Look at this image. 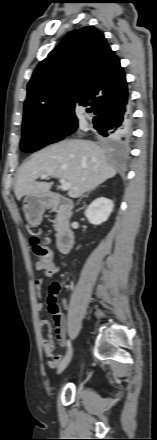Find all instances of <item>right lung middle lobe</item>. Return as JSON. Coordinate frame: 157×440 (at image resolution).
<instances>
[{
	"label": "right lung middle lobe",
	"mask_w": 157,
	"mask_h": 440,
	"mask_svg": "<svg viewBox=\"0 0 157 440\" xmlns=\"http://www.w3.org/2000/svg\"><path fill=\"white\" fill-rule=\"evenodd\" d=\"M77 128L74 122H30L22 127L20 149L24 152H34L47 144L55 143L73 133ZM106 142H114L111 137H105Z\"/></svg>",
	"instance_id": "obj_1"
}]
</instances>
